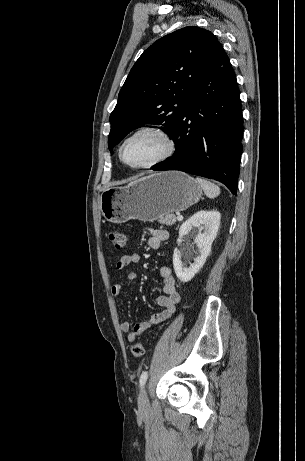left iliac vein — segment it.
Returning <instances> with one entry per match:
<instances>
[{
  "label": "left iliac vein",
  "instance_id": "left-iliac-vein-1",
  "mask_svg": "<svg viewBox=\"0 0 305 461\" xmlns=\"http://www.w3.org/2000/svg\"><path fill=\"white\" fill-rule=\"evenodd\" d=\"M139 409L145 411L149 408V399L145 387H142L138 396Z\"/></svg>",
  "mask_w": 305,
  "mask_h": 461
}]
</instances>
